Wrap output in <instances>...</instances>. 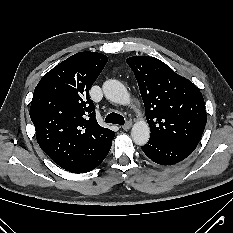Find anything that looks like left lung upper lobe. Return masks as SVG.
<instances>
[{
  "label": "left lung upper lobe",
  "mask_w": 233,
  "mask_h": 233,
  "mask_svg": "<svg viewBox=\"0 0 233 233\" xmlns=\"http://www.w3.org/2000/svg\"><path fill=\"white\" fill-rule=\"evenodd\" d=\"M137 79L151 138L194 150L206 124L200 90L154 57L126 60Z\"/></svg>",
  "instance_id": "1"
}]
</instances>
